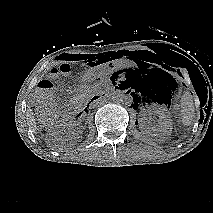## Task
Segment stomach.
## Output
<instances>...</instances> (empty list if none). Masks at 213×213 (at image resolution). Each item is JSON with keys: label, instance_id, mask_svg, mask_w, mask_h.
Listing matches in <instances>:
<instances>
[{"label": "stomach", "instance_id": "0dacf381", "mask_svg": "<svg viewBox=\"0 0 213 213\" xmlns=\"http://www.w3.org/2000/svg\"><path fill=\"white\" fill-rule=\"evenodd\" d=\"M128 66V61L125 58H118L104 64L96 63L87 70V77L90 80H95L102 73H112Z\"/></svg>", "mask_w": 213, "mask_h": 213}]
</instances>
